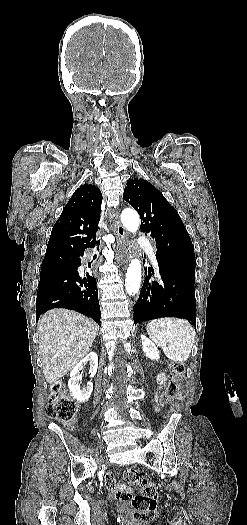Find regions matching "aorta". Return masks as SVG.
I'll list each match as a JSON object with an SVG mask.
<instances>
[{
	"label": "aorta",
	"mask_w": 247,
	"mask_h": 525,
	"mask_svg": "<svg viewBox=\"0 0 247 525\" xmlns=\"http://www.w3.org/2000/svg\"><path fill=\"white\" fill-rule=\"evenodd\" d=\"M121 222L128 231L135 233L139 228L140 218L136 211L125 209L121 214ZM141 275V263L139 259H133L129 264L125 279V289L129 295H135L139 291Z\"/></svg>",
	"instance_id": "obj_1"
}]
</instances>
